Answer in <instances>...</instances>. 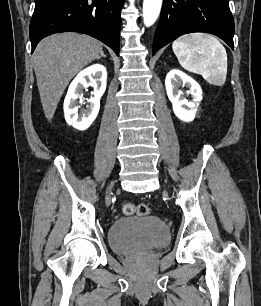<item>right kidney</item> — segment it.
I'll use <instances>...</instances> for the list:
<instances>
[{
  "label": "right kidney",
  "mask_w": 261,
  "mask_h": 306,
  "mask_svg": "<svg viewBox=\"0 0 261 306\" xmlns=\"http://www.w3.org/2000/svg\"><path fill=\"white\" fill-rule=\"evenodd\" d=\"M89 79V83L87 82ZM107 72L103 65L95 64L81 71L69 86L64 100V115L66 122L78 130H86L96 119L100 109V98L106 90ZM93 86L94 97L88 102L91 106L78 114V102H83V88Z\"/></svg>",
  "instance_id": "ca27d5eb"
}]
</instances>
